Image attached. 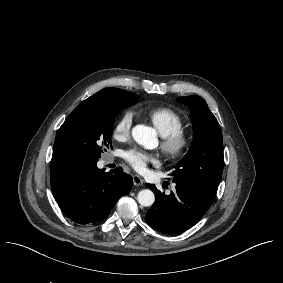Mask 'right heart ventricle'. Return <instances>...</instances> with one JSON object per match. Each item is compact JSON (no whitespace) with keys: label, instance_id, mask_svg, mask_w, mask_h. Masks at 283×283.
<instances>
[{"label":"right heart ventricle","instance_id":"right-heart-ventricle-1","mask_svg":"<svg viewBox=\"0 0 283 283\" xmlns=\"http://www.w3.org/2000/svg\"><path fill=\"white\" fill-rule=\"evenodd\" d=\"M145 116L162 137L168 136L184 125L183 118L177 112L165 107L152 109Z\"/></svg>","mask_w":283,"mask_h":283}]
</instances>
